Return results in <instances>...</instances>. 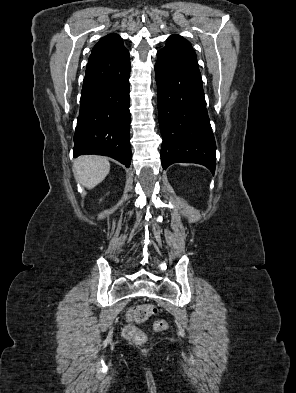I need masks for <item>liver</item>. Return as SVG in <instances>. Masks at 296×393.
Instances as JSON below:
<instances>
[{
  "mask_svg": "<svg viewBox=\"0 0 296 393\" xmlns=\"http://www.w3.org/2000/svg\"><path fill=\"white\" fill-rule=\"evenodd\" d=\"M110 171L109 161L96 155H83L73 163V173L77 182L92 189L102 182Z\"/></svg>",
  "mask_w": 296,
  "mask_h": 393,
  "instance_id": "6515ba94",
  "label": "liver"
}]
</instances>
